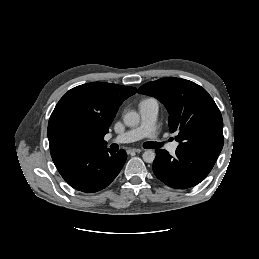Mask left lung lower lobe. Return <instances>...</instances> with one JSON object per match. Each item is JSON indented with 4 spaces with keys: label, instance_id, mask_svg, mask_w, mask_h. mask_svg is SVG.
Returning <instances> with one entry per match:
<instances>
[{
    "label": "left lung lower lobe",
    "instance_id": "left-lung-lower-lobe-1",
    "mask_svg": "<svg viewBox=\"0 0 259 259\" xmlns=\"http://www.w3.org/2000/svg\"><path fill=\"white\" fill-rule=\"evenodd\" d=\"M155 152L153 171L156 177L172 188L186 189L205 179L221 151L203 147L177 148L175 157L166 150Z\"/></svg>",
    "mask_w": 259,
    "mask_h": 259
}]
</instances>
